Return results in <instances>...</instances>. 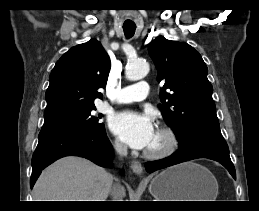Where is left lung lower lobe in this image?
I'll use <instances>...</instances> for the list:
<instances>
[{"label":"left lung lower lobe","mask_w":259,"mask_h":211,"mask_svg":"<svg viewBox=\"0 0 259 211\" xmlns=\"http://www.w3.org/2000/svg\"><path fill=\"white\" fill-rule=\"evenodd\" d=\"M196 158H207L221 163L236 179L234 165L229 156L228 145L224 139L212 136H199L179 149L171 156L145 164L146 170L151 173L159 169L173 166Z\"/></svg>","instance_id":"obj_1"}]
</instances>
